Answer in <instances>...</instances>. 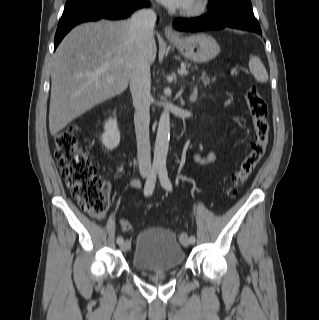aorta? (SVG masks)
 Segmentation results:
<instances>
[{
  "instance_id": "aorta-1",
  "label": "aorta",
  "mask_w": 319,
  "mask_h": 320,
  "mask_svg": "<svg viewBox=\"0 0 319 320\" xmlns=\"http://www.w3.org/2000/svg\"><path fill=\"white\" fill-rule=\"evenodd\" d=\"M170 140V114L164 110L160 116L156 141L154 146L153 163L156 167H165Z\"/></svg>"
}]
</instances>
